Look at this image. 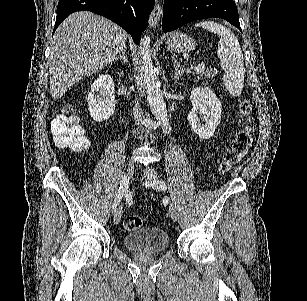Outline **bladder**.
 <instances>
[{
    "label": "bladder",
    "instance_id": "31cf9c89",
    "mask_svg": "<svg viewBox=\"0 0 307 301\" xmlns=\"http://www.w3.org/2000/svg\"><path fill=\"white\" fill-rule=\"evenodd\" d=\"M127 249L137 252H160L169 245V237L160 228H144L122 238Z\"/></svg>",
    "mask_w": 307,
    "mask_h": 301
}]
</instances>
